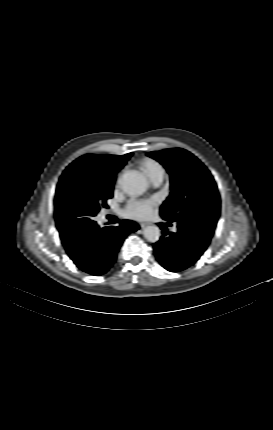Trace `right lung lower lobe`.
<instances>
[{"label":"right lung lower lobe","instance_id":"1","mask_svg":"<svg viewBox=\"0 0 273 430\" xmlns=\"http://www.w3.org/2000/svg\"><path fill=\"white\" fill-rule=\"evenodd\" d=\"M138 229V224L128 220L120 221L118 227L103 228L94 222L65 249L80 270L100 276L107 273L115 263L125 237Z\"/></svg>","mask_w":273,"mask_h":430}]
</instances>
